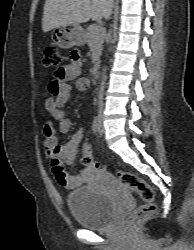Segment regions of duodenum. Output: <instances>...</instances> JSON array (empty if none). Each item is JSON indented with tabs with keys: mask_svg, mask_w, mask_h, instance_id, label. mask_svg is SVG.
<instances>
[{
	"mask_svg": "<svg viewBox=\"0 0 194 250\" xmlns=\"http://www.w3.org/2000/svg\"><path fill=\"white\" fill-rule=\"evenodd\" d=\"M100 74V63H95L92 67V76L94 79H97Z\"/></svg>",
	"mask_w": 194,
	"mask_h": 250,
	"instance_id": "duodenum-1",
	"label": "duodenum"
}]
</instances>
